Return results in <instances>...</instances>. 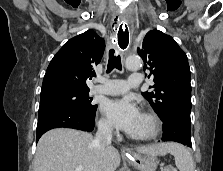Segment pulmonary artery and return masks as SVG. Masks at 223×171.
<instances>
[{"mask_svg": "<svg viewBox=\"0 0 223 171\" xmlns=\"http://www.w3.org/2000/svg\"><path fill=\"white\" fill-rule=\"evenodd\" d=\"M100 84L93 87V92L104 95H120L142 83L140 73H132L128 80L99 78Z\"/></svg>", "mask_w": 223, "mask_h": 171, "instance_id": "obj_1", "label": "pulmonary artery"}]
</instances>
